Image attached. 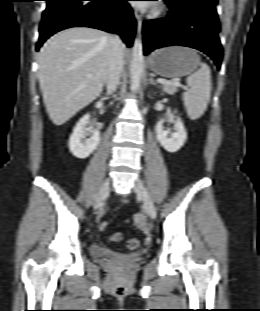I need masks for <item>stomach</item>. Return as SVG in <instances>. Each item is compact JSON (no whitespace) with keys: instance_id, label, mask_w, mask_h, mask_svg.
<instances>
[{"instance_id":"0dacf381","label":"stomach","mask_w":260,"mask_h":311,"mask_svg":"<svg viewBox=\"0 0 260 311\" xmlns=\"http://www.w3.org/2000/svg\"><path fill=\"white\" fill-rule=\"evenodd\" d=\"M200 57L183 46L165 47L155 51L148 60L149 67L165 78L189 75L199 65Z\"/></svg>"}]
</instances>
